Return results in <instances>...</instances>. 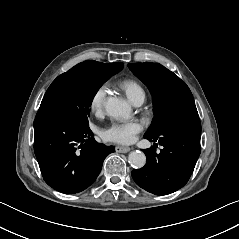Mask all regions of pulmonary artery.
Instances as JSON below:
<instances>
[{
  "label": "pulmonary artery",
  "instance_id": "1",
  "mask_svg": "<svg viewBox=\"0 0 239 239\" xmlns=\"http://www.w3.org/2000/svg\"><path fill=\"white\" fill-rule=\"evenodd\" d=\"M144 99H145V95L139 94L132 99V102L134 103V105L140 106L144 102Z\"/></svg>",
  "mask_w": 239,
  "mask_h": 239
}]
</instances>
